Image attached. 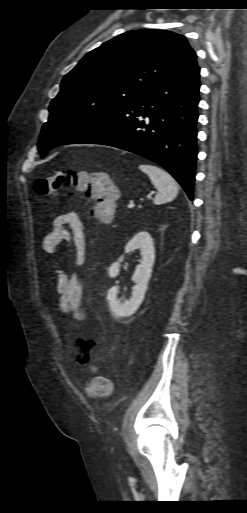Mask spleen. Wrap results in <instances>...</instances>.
<instances>
[{
	"mask_svg": "<svg viewBox=\"0 0 247 513\" xmlns=\"http://www.w3.org/2000/svg\"><path fill=\"white\" fill-rule=\"evenodd\" d=\"M139 169L149 176L152 184L158 190L153 200L154 204H164L176 198L179 192L178 184L168 172L149 164H141Z\"/></svg>",
	"mask_w": 247,
	"mask_h": 513,
	"instance_id": "obj_1",
	"label": "spleen"
}]
</instances>
